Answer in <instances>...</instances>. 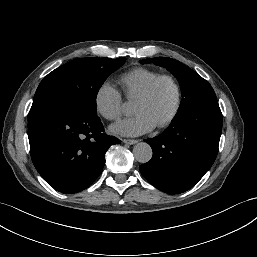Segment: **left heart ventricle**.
Returning <instances> with one entry per match:
<instances>
[{
    "instance_id": "1",
    "label": "left heart ventricle",
    "mask_w": 257,
    "mask_h": 257,
    "mask_svg": "<svg viewBox=\"0 0 257 257\" xmlns=\"http://www.w3.org/2000/svg\"><path fill=\"white\" fill-rule=\"evenodd\" d=\"M175 98L176 94L172 83L163 80L147 99L133 102V112L145 114L157 126L172 113Z\"/></svg>"
}]
</instances>
